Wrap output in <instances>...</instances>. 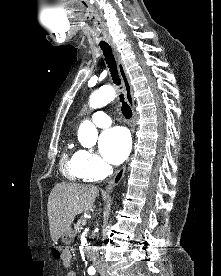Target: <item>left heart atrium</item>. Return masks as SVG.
I'll return each mask as SVG.
<instances>
[{
	"instance_id": "39dd6f15",
	"label": "left heart atrium",
	"mask_w": 221,
	"mask_h": 276,
	"mask_svg": "<svg viewBox=\"0 0 221 276\" xmlns=\"http://www.w3.org/2000/svg\"><path fill=\"white\" fill-rule=\"evenodd\" d=\"M99 146L103 158L111 164L118 165L128 157L131 140L124 128L115 127L102 133Z\"/></svg>"
}]
</instances>
